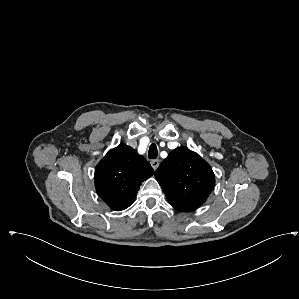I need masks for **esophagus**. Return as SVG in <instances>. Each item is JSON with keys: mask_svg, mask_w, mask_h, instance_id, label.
<instances>
[{"mask_svg": "<svg viewBox=\"0 0 299 299\" xmlns=\"http://www.w3.org/2000/svg\"><path fill=\"white\" fill-rule=\"evenodd\" d=\"M150 164L154 170H157L160 164V160L159 159L151 160Z\"/></svg>", "mask_w": 299, "mask_h": 299, "instance_id": "obj_1", "label": "esophagus"}]
</instances>
